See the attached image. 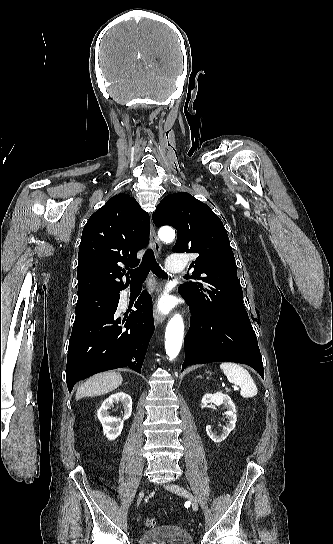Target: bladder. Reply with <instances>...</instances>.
<instances>
[{
    "label": "bladder",
    "instance_id": "1",
    "mask_svg": "<svg viewBox=\"0 0 333 544\" xmlns=\"http://www.w3.org/2000/svg\"><path fill=\"white\" fill-rule=\"evenodd\" d=\"M138 544H194L191 535L177 526H162L141 534Z\"/></svg>",
    "mask_w": 333,
    "mask_h": 544
}]
</instances>
